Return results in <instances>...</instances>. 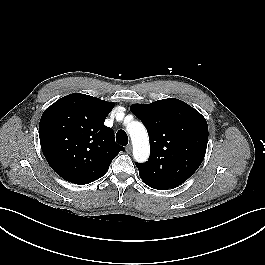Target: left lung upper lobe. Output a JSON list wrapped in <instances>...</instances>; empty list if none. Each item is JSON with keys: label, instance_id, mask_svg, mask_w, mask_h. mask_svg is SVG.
I'll use <instances>...</instances> for the list:
<instances>
[{"label": "left lung upper lobe", "instance_id": "left-lung-upper-lobe-1", "mask_svg": "<svg viewBox=\"0 0 265 265\" xmlns=\"http://www.w3.org/2000/svg\"><path fill=\"white\" fill-rule=\"evenodd\" d=\"M131 110L145 124L150 137L148 161L136 163L141 179L158 190L184 183L198 169L206 153L205 118L174 98L133 104Z\"/></svg>", "mask_w": 265, "mask_h": 265}]
</instances>
